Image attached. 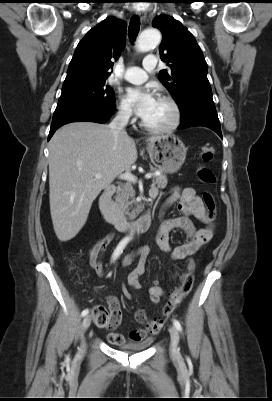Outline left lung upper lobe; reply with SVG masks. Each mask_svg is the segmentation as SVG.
<instances>
[{"label":"left lung upper lobe","instance_id":"1","mask_svg":"<svg viewBox=\"0 0 272 401\" xmlns=\"http://www.w3.org/2000/svg\"><path fill=\"white\" fill-rule=\"evenodd\" d=\"M152 25L162 32L160 58L170 68L168 72H159V80L171 93L181 113L198 105H214L207 63L193 35L167 15L155 17Z\"/></svg>","mask_w":272,"mask_h":401}]
</instances>
